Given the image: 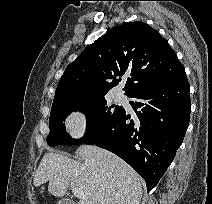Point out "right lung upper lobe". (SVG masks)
<instances>
[{
	"mask_svg": "<svg viewBox=\"0 0 212 204\" xmlns=\"http://www.w3.org/2000/svg\"><path fill=\"white\" fill-rule=\"evenodd\" d=\"M184 71L176 53L144 22L122 24L89 45L65 70L52 108L105 94L129 75L125 95L172 80Z\"/></svg>",
	"mask_w": 212,
	"mask_h": 204,
	"instance_id": "obj_1",
	"label": "right lung upper lobe"
}]
</instances>
